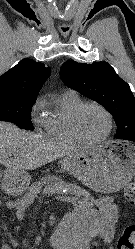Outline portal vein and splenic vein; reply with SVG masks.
Segmentation results:
<instances>
[{
  "label": "portal vein and splenic vein",
  "instance_id": "portal-vein-and-splenic-vein-1",
  "mask_svg": "<svg viewBox=\"0 0 135 249\" xmlns=\"http://www.w3.org/2000/svg\"><path fill=\"white\" fill-rule=\"evenodd\" d=\"M65 199H67L68 201H70V202H75V201H78V197H76V196H69V197H66Z\"/></svg>",
  "mask_w": 135,
  "mask_h": 249
}]
</instances>
